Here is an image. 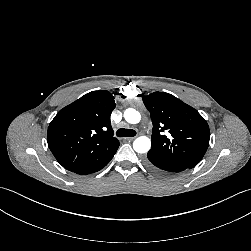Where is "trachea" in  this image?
Returning <instances> with one entry per match:
<instances>
[{
    "label": "trachea",
    "mask_w": 251,
    "mask_h": 251,
    "mask_svg": "<svg viewBox=\"0 0 251 251\" xmlns=\"http://www.w3.org/2000/svg\"><path fill=\"white\" fill-rule=\"evenodd\" d=\"M116 135L118 137H134L136 135V131L132 129L120 128L117 130Z\"/></svg>",
    "instance_id": "3493384b"
}]
</instances>
